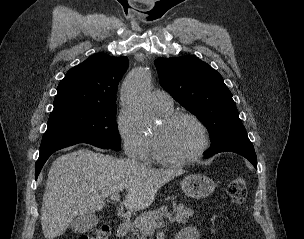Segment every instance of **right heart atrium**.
Wrapping results in <instances>:
<instances>
[{"label": "right heart atrium", "instance_id": "1", "mask_svg": "<svg viewBox=\"0 0 304 239\" xmlns=\"http://www.w3.org/2000/svg\"><path fill=\"white\" fill-rule=\"evenodd\" d=\"M116 126L125 153L131 158L147 159L151 149L150 138L134 124L123 108L117 115Z\"/></svg>", "mask_w": 304, "mask_h": 239}]
</instances>
